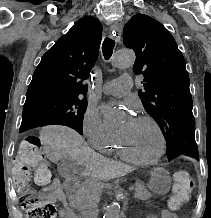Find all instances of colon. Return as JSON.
I'll return each instance as SVG.
<instances>
[{"label":"colon","mask_w":211,"mask_h":218,"mask_svg":"<svg viewBox=\"0 0 211 218\" xmlns=\"http://www.w3.org/2000/svg\"><path fill=\"white\" fill-rule=\"evenodd\" d=\"M13 180L19 190L27 188L32 181L48 187L52 177L42 141L37 136H28L19 148L13 161ZM194 186L190 173L186 170L176 171L174 174L173 197L171 207L178 208L186 203ZM27 218H56L54 204L45 200L30 197L23 198Z\"/></svg>","instance_id":"1"}]
</instances>
